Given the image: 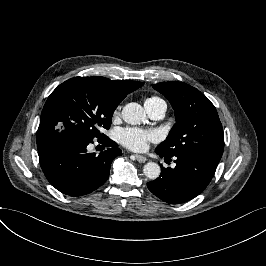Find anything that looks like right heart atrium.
<instances>
[{
	"instance_id": "d8ad5b80",
	"label": "right heart atrium",
	"mask_w": 266,
	"mask_h": 266,
	"mask_svg": "<svg viewBox=\"0 0 266 266\" xmlns=\"http://www.w3.org/2000/svg\"><path fill=\"white\" fill-rule=\"evenodd\" d=\"M121 108H122L121 105H117V106L115 107V109H114V111H113V116H114V117L119 116L120 111H121Z\"/></svg>"
}]
</instances>
